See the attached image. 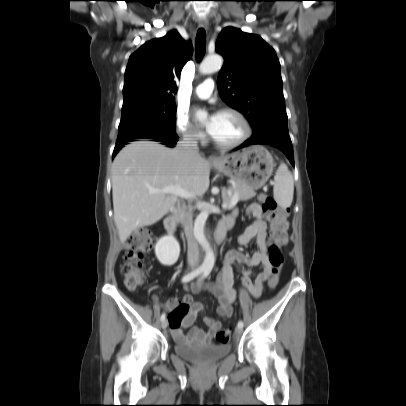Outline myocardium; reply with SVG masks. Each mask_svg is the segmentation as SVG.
Instances as JSON below:
<instances>
[{
    "instance_id": "obj_1",
    "label": "myocardium",
    "mask_w": 406,
    "mask_h": 406,
    "mask_svg": "<svg viewBox=\"0 0 406 406\" xmlns=\"http://www.w3.org/2000/svg\"><path fill=\"white\" fill-rule=\"evenodd\" d=\"M221 113H231V114L235 115L243 126V133L239 139H237L236 141L231 142V143L220 142L209 133L211 141L218 148H221V149H233V148L240 146L245 141H247L251 135V125H250L249 121L247 120V118L245 117V115L241 111H239L238 109L233 108V107L221 108L218 111V114H221Z\"/></svg>"
}]
</instances>
